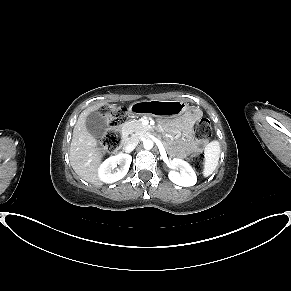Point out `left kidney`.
Masks as SVG:
<instances>
[{
  "mask_svg": "<svg viewBox=\"0 0 291 291\" xmlns=\"http://www.w3.org/2000/svg\"><path fill=\"white\" fill-rule=\"evenodd\" d=\"M169 167L179 169V172L171 170L168 173V177L173 183L183 187H190L196 184V173L186 161L174 158L169 162Z\"/></svg>",
  "mask_w": 291,
  "mask_h": 291,
  "instance_id": "1",
  "label": "left kidney"
}]
</instances>
